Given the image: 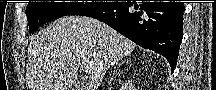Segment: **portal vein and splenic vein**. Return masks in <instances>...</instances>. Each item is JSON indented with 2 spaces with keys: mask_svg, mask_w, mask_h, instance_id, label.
I'll list each match as a JSON object with an SVG mask.
<instances>
[{
  "mask_svg": "<svg viewBox=\"0 0 216 90\" xmlns=\"http://www.w3.org/2000/svg\"><path fill=\"white\" fill-rule=\"evenodd\" d=\"M83 72H88V70H85V66H82Z\"/></svg>",
  "mask_w": 216,
  "mask_h": 90,
  "instance_id": "1",
  "label": "portal vein and splenic vein"
}]
</instances>
